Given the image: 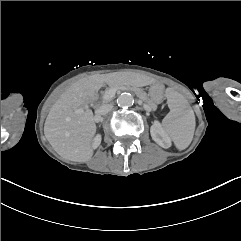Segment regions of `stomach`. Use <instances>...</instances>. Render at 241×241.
<instances>
[{"instance_id": "1", "label": "stomach", "mask_w": 241, "mask_h": 241, "mask_svg": "<svg viewBox=\"0 0 241 241\" xmlns=\"http://www.w3.org/2000/svg\"><path fill=\"white\" fill-rule=\"evenodd\" d=\"M164 89H165V86L161 83L153 84L149 88L148 95L155 103H161L164 99Z\"/></svg>"}]
</instances>
